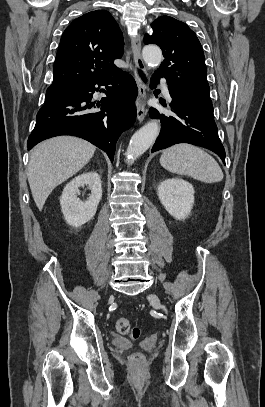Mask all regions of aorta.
Here are the masks:
<instances>
[{
  "label": "aorta",
  "instance_id": "obj_1",
  "mask_svg": "<svg viewBox=\"0 0 265 407\" xmlns=\"http://www.w3.org/2000/svg\"><path fill=\"white\" fill-rule=\"evenodd\" d=\"M143 59L149 66H158L162 61V52L158 47L146 46L142 51ZM159 133V124L151 121L134 133L126 151L128 160L134 161L155 141Z\"/></svg>",
  "mask_w": 265,
  "mask_h": 407
}]
</instances>
